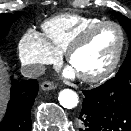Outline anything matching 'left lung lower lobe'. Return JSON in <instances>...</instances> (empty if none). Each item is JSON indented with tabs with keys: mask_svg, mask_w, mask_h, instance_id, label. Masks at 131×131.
I'll use <instances>...</instances> for the list:
<instances>
[{
	"mask_svg": "<svg viewBox=\"0 0 131 131\" xmlns=\"http://www.w3.org/2000/svg\"><path fill=\"white\" fill-rule=\"evenodd\" d=\"M83 94L76 119L78 131H131V72L83 90Z\"/></svg>",
	"mask_w": 131,
	"mask_h": 131,
	"instance_id": "left-lung-lower-lobe-1",
	"label": "left lung lower lobe"
}]
</instances>
